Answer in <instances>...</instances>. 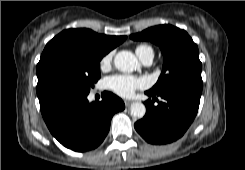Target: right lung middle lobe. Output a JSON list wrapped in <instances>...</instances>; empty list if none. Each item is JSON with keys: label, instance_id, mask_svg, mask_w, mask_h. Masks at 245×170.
<instances>
[{"label": "right lung middle lobe", "instance_id": "obj_1", "mask_svg": "<svg viewBox=\"0 0 245 170\" xmlns=\"http://www.w3.org/2000/svg\"><path fill=\"white\" fill-rule=\"evenodd\" d=\"M101 59L71 49H44L37 65L40 107L62 97L89 94L100 78Z\"/></svg>", "mask_w": 245, "mask_h": 170}]
</instances>
